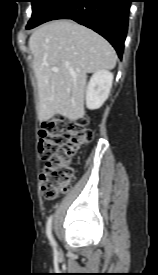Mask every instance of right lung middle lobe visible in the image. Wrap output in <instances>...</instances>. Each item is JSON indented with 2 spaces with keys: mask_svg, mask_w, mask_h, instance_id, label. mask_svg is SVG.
Masks as SVG:
<instances>
[{
  "mask_svg": "<svg viewBox=\"0 0 158 275\" xmlns=\"http://www.w3.org/2000/svg\"><path fill=\"white\" fill-rule=\"evenodd\" d=\"M55 1L56 0H31L33 13L27 24V28L35 25Z\"/></svg>",
  "mask_w": 158,
  "mask_h": 275,
  "instance_id": "right-lung-middle-lobe-1",
  "label": "right lung middle lobe"
}]
</instances>
